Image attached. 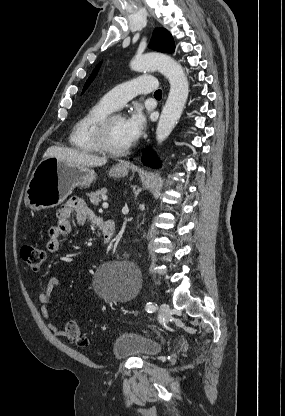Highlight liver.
Here are the masks:
<instances>
[{"label": "liver", "instance_id": "liver-1", "mask_svg": "<svg viewBox=\"0 0 285 416\" xmlns=\"http://www.w3.org/2000/svg\"><path fill=\"white\" fill-rule=\"evenodd\" d=\"M46 158H59L63 162L69 164H77V166H88V168H97V166H105L107 158H99L93 156L85 150H73V148H59V146H51L43 154V160Z\"/></svg>", "mask_w": 285, "mask_h": 416}]
</instances>
